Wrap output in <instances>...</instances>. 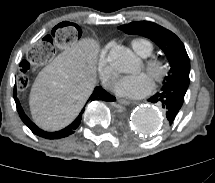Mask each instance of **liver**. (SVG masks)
<instances>
[{
	"label": "liver",
	"mask_w": 215,
	"mask_h": 183,
	"mask_svg": "<svg viewBox=\"0 0 215 183\" xmlns=\"http://www.w3.org/2000/svg\"><path fill=\"white\" fill-rule=\"evenodd\" d=\"M98 52L95 40L82 39L38 73L29 98L38 127L57 131L77 117L96 85Z\"/></svg>",
	"instance_id": "liver-1"
}]
</instances>
